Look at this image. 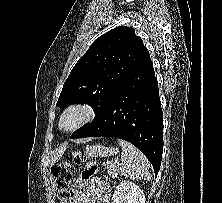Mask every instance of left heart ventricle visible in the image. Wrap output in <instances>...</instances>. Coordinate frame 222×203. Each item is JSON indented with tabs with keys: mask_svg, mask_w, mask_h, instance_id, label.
Segmentation results:
<instances>
[{
	"mask_svg": "<svg viewBox=\"0 0 222 203\" xmlns=\"http://www.w3.org/2000/svg\"><path fill=\"white\" fill-rule=\"evenodd\" d=\"M79 118H80V115L78 113H71L64 119L63 126L65 128L71 127L77 123Z\"/></svg>",
	"mask_w": 222,
	"mask_h": 203,
	"instance_id": "1",
	"label": "left heart ventricle"
}]
</instances>
